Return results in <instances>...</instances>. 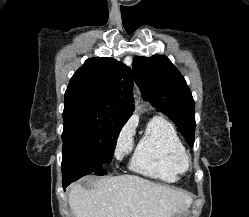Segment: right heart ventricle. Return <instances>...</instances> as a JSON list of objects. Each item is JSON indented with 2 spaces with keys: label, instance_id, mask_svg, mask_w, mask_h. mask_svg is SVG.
<instances>
[{
  "label": "right heart ventricle",
  "instance_id": "1",
  "mask_svg": "<svg viewBox=\"0 0 249 217\" xmlns=\"http://www.w3.org/2000/svg\"><path fill=\"white\" fill-rule=\"evenodd\" d=\"M185 153L175 127L165 118L155 116L135 148L130 168L143 176L173 183L183 173L178 159Z\"/></svg>",
  "mask_w": 249,
  "mask_h": 217
}]
</instances>
